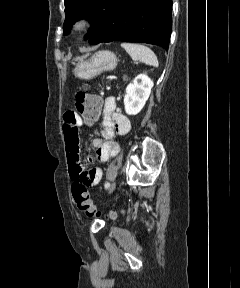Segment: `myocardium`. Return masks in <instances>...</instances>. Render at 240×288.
Segmentation results:
<instances>
[{
	"label": "myocardium",
	"mask_w": 240,
	"mask_h": 288,
	"mask_svg": "<svg viewBox=\"0 0 240 288\" xmlns=\"http://www.w3.org/2000/svg\"><path fill=\"white\" fill-rule=\"evenodd\" d=\"M93 17H94V14H93V11L91 10H88L82 13L74 21L72 25L73 30L77 33L86 31L91 26Z\"/></svg>",
	"instance_id": "myocardium-1"
}]
</instances>
